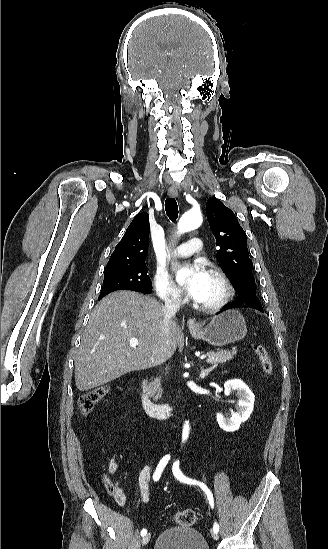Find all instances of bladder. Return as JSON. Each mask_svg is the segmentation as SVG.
<instances>
[{"mask_svg": "<svg viewBox=\"0 0 328 549\" xmlns=\"http://www.w3.org/2000/svg\"><path fill=\"white\" fill-rule=\"evenodd\" d=\"M155 549H209L204 536L196 528L178 527L163 531L155 541Z\"/></svg>", "mask_w": 328, "mask_h": 549, "instance_id": "bladder-1", "label": "bladder"}]
</instances>
